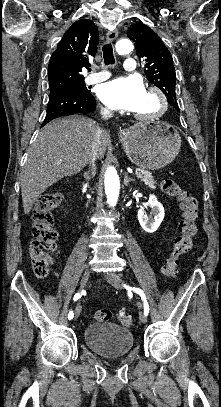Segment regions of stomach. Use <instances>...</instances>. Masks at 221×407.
I'll use <instances>...</instances> for the list:
<instances>
[{
	"label": "stomach",
	"mask_w": 221,
	"mask_h": 407,
	"mask_svg": "<svg viewBox=\"0 0 221 407\" xmlns=\"http://www.w3.org/2000/svg\"><path fill=\"white\" fill-rule=\"evenodd\" d=\"M120 140L131 162L146 170L165 167L181 147L175 127L164 122L135 124L120 135Z\"/></svg>",
	"instance_id": "0dacf381"
}]
</instances>
